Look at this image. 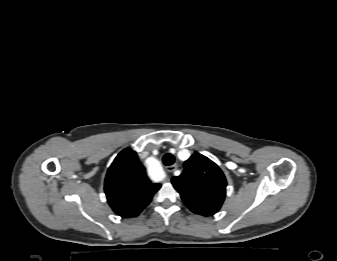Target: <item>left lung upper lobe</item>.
<instances>
[{"mask_svg":"<svg viewBox=\"0 0 337 261\" xmlns=\"http://www.w3.org/2000/svg\"><path fill=\"white\" fill-rule=\"evenodd\" d=\"M174 188L186 206L196 214L214 215L226 195V179L220 168L202 154H194L184 162V171L172 178Z\"/></svg>","mask_w":337,"mask_h":261,"instance_id":"obj_1","label":"left lung upper lobe"}]
</instances>
